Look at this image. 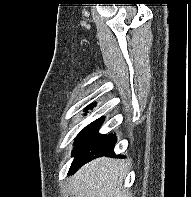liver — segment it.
<instances>
[{"label": "liver", "mask_w": 191, "mask_h": 197, "mask_svg": "<svg viewBox=\"0 0 191 197\" xmlns=\"http://www.w3.org/2000/svg\"><path fill=\"white\" fill-rule=\"evenodd\" d=\"M129 163L120 159L99 158L77 171L72 180L77 197H129L122 190Z\"/></svg>", "instance_id": "obj_1"}]
</instances>
